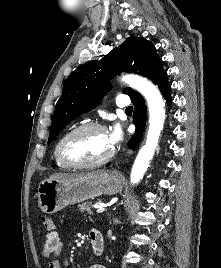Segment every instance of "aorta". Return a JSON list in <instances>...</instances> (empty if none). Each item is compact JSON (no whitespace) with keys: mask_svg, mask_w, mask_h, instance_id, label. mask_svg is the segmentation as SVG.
I'll return each instance as SVG.
<instances>
[{"mask_svg":"<svg viewBox=\"0 0 221 268\" xmlns=\"http://www.w3.org/2000/svg\"><path fill=\"white\" fill-rule=\"evenodd\" d=\"M121 80L145 97L149 109V129L146 142L135 159L130 175V181L134 185L138 184L143 178L155 153L164 125L165 103L159 90L147 79L130 74L122 76Z\"/></svg>","mask_w":221,"mask_h":268,"instance_id":"obj_1","label":"aorta"}]
</instances>
